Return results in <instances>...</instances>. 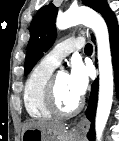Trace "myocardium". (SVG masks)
Listing matches in <instances>:
<instances>
[{
  "label": "myocardium",
  "instance_id": "1",
  "mask_svg": "<svg viewBox=\"0 0 119 141\" xmlns=\"http://www.w3.org/2000/svg\"><path fill=\"white\" fill-rule=\"evenodd\" d=\"M58 73L59 72L53 73L46 84L44 91V103L47 110L52 115L57 117H70L79 112L83 102L81 99H79L76 106L69 110H64L59 106L56 95V81Z\"/></svg>",
  "mask_w": 119,
  "mask_h": 141
}]
</instances>
